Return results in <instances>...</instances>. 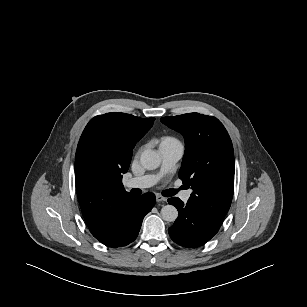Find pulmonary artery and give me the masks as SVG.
I'll list each match as a JSON object with an SVG mask.
<instances>
[{"label": "pulmonary artery", "mask_w": 307, "mask_h": 307, "mask_svg": "<svg viewBox=\"0 0 307 307\" xmlns=\"http://www.w3.org/2000/svg\"><path fill=\"white\" fill-rule=\"evenodd\" d=\"M183 152V144L178 141L161 143L159 146V154L161 157L160 172L158 174H147L130 178L126 182V187L144 189L153 186L158 182L161 176L173 170L176 163L182 157ZM190 196V190L181 193V199L184 202H187L190 199Z\"/></svg>", "instance_id": "1"}]
</instances>
